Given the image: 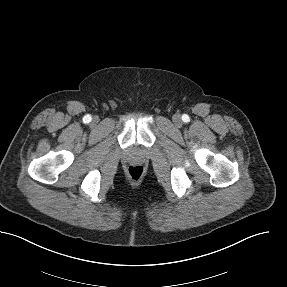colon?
Masks as SVG:
<instances>
[{"label": "colon", "instance_id": "1", "mask_svg": "<svg viewBox=\"0 0 287 287\" xmlns=\"http://www.w3.org/2000/svg\"><path fill=\"white\" fill-rule=\"evenodd\" d=\"M128 177L134 181H138L144 174V168L141 165H131L127 169Z\"/></svg>", "mask_w": 287, "mask_h": 287}]
</instances>
